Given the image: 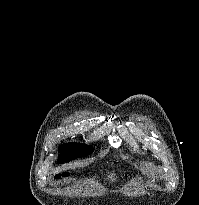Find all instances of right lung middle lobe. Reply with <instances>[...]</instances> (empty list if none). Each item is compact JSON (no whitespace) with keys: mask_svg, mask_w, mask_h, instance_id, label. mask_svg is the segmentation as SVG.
<instances>
[{"mask_svg":"<svg viewBox=\"0 0 199 205\" xmlns=\"http://www.w3.org/2000/svg\"><path fill=\"white\" fill-rule=\"evenodd\" d=\"M60 147V154L57 160L58 164L88 156L93 152V148L90 145L81 143H66Z\"/></svg>","mask_w":199,"mask_h":205,"instance_id":"dd1d6c3e","label":"right lung middle lobe"}]
</instances>
